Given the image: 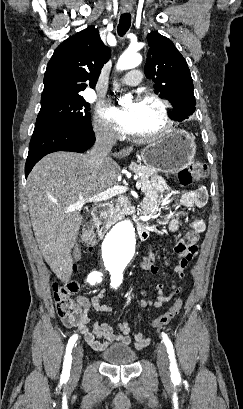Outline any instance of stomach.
Returning a JSON list of instances; mask_svg holds the SVG:
<instances>
[{"instance_id": "0dacf381", "label": "stomach", "mask_w": 243, "mask_h": 409, "mask_svg": "<svg viewBox=\"0 0 243 409\" xmlns=\"http://www.w3.org/2000/svg\"><path fill=\"white\" fill-rule=\"evenodd\" d=\"M195 153L194 137L185 130L175 129L147 145L141 157L155 172L174 173L188 167Z\"/></svg>"}]
</instances>
